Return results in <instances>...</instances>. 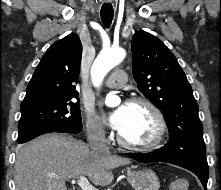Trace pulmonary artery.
<instances>
[{
	"label": "pulmonary artery",
	"mask_w": 221,
	"mask_h": 190,
	"mask_svg": "<svg viewBox=\"0 0 221 190\" xmlns=\"http://www.w3.org/2000/svg\"><path fill=\"white\" fill-rule=\"evenodd\" d=\"M127 82L126 72L122 69H118L112 72L109 78L106 80L105 85L109 88L122 87Z\"/></svg>",
	"instance_id": "e3ab8cb5"
}]
</instances>
